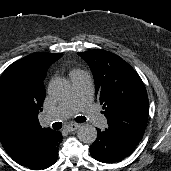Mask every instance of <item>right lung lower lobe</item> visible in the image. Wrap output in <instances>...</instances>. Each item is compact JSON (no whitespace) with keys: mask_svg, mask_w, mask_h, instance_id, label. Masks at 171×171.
<instances>
[{"mask_svg":"<svg viewBox=\"0 0 171 171\" xmlns=\"http://www.w3.org/2000/svg\"><path fill=\"white\" fill-rule=\"evenodd\" d=\"M61 140V133L59 131H53V133L44 139L38 151L20 165L33 170L50 167L57 160L58 144Z\"/></svg>","mask_w":171,"mask_h":171,"instance_id":"obj_1","label":"right lung lower lobe"}]
</instances>
